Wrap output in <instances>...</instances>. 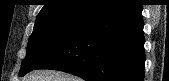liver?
Returning a JSON list of instances; mask_svg holds the SVG:
<instances>
[{
    "instance_id": "6515ba94",
    "label": "liver",
    "mask_w": 169,
    "mask_h": 81,
    "mask_svg": "<svg viewBox=\"0 0 169 81\" xmlns=\"http://www.w3.org/2000/svg\"><path fill=\"white\" fill-rule=\"evenodd\" d=\"M25 81H79V78L53 70H37L27 76Z\"/></svg>"
}]
</instances>
